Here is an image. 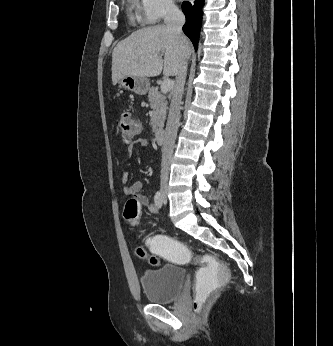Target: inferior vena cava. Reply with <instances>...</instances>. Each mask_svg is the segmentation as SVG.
<instances>
[{"label":"inferior vena cava","instance_id":"inferior-vena-cava-1","mask_svg":"<svg viewBox=\"0 0 333 346\" xmlns=\"http://www.w3.org/2000/svg\"><path fill=\"white\" fill-rule=\"evenodd\" d=\"M164 23L178 36L182 51L162 146L161 178H168L180 118V103L184 92L188 57L185 54V36L182 34V26L185 23L184 14L175 5L169 4L166 8Z\"/></svg>","mask_w":333,"mask_h":346}]
</instances>
